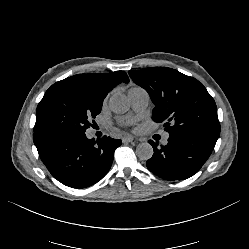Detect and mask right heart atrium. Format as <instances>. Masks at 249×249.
<instances>
[{
	"label": "right heart atrium",
	"instance_id": "obj_1",
	"mask_svg": "<svg viewBox=\"0 0 249 249\" xmlns=\"http://www.w3.org/2000/svg\"><path fill=\"white\" fill-rule=\"evenodd\" d=\"M109 95H110V93L108 94L107 98L109 97ZM107 98H106V99H107Z\"/></svg>",
	"mask_w": 249,
	"mask_h": 249
}]
</instances>
